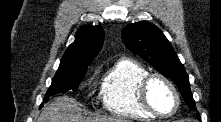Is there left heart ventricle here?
Wrapping results in <instances>:
<instances>
[{"label": "left heart ventricle", "mask_w": 221, "mask_h": 122, "mask_svg": "<svg viewBox=\"0 0 221 122\" xmlns=\"http://www.w3.org/2000/svg\"><path fill=\"white\" fill-rule=\"evenodd\" d=\"M149 99L160 113H170L175 107V98L171 89L161 80L155 79L149 86Z\"/></svg>", "instance_id": "b2bd125f"}]
</instances>
